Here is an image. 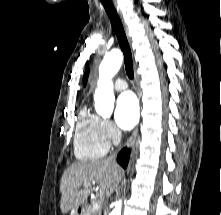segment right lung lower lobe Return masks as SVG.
<instances>
[{
  "instance_id": "98d812e1",
  "label": "right lung lower lobe",
  "mask_w": 221,
  "mask_h": 215,
  "mask_svg": "<svg viewBox=\"0 0 221 215\" xmlns=\"http://www.w3.org/2000/svg\"><path fill=\"white\" fill-rule=\"evenodd\" d=\"M129 149L122 150L117 156V162L123 167L126 168L129 160Z\"/></svg>"
}]
</instances>
